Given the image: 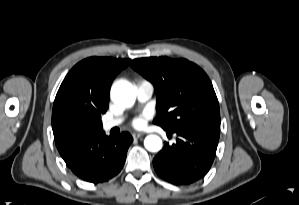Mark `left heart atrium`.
<instances>
[{
    "instance_id": "1",
    "label": "left heart atrium",
    "mask_w": 299,
    "mask_h": 205,
    "mask_svg": "<svg viewBox=\"0 0 299 205\" xmlns=\"http://www.w3.org/2000/svg\"><path fill=\"white\" fill-rule=\"evenodd\" d=\"M133 125L135 126V127H141V125H142V122H141V120L140 119H135L134 121H133Z\"/></svg>"
}]
</instances>
